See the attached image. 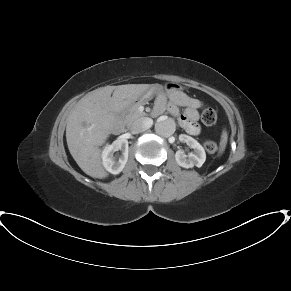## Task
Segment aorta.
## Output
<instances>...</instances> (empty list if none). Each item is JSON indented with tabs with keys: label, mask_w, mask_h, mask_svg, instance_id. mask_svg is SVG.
Instances as JSON below:
<instances>
[{
	"label": "aorta",
	"mask_w": 291,
	"mask_h": 291,
	"mask_svg": "<svg viewBox=\"0 0 291 291\" xmlns=\"http://www.w3.org/2000/svg\"><path fill=\"white\" fill-rule=\"evenodd\" d=\"M176 130L175 121L172 118L162 116L155 124V131L158 135L163 137L171 136Z\"/></svg>",
	"instance_id": "762f6f07"
}]
</instances>
